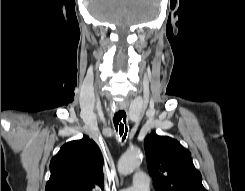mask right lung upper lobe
Listing matches in <instances>:
<instances>
[{"label": "right lung upper lobe", "mask_w": 245, "mask_h": 191, "mask_svg": "<svg viewBox=\"0 0 245 191\" xmlns=\"http://www.w3.org/2000/svg\"><path fill=\"white\" fill-rule=\"evenodd\" d=\"M102 164L98 146L88 137L66 143L50 162L45 191L103 190Z\"/></svg>", "instance_id": "cb5924a9"}]
</instances>
